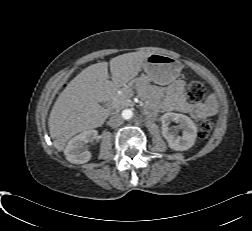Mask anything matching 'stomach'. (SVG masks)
Returning a JSON list of instances; mask_svg holds the SVG:
<instances>
[{
	"mask_svg": "<svg viewBox=\"0 0 252 231\" xmlns=\"http://www.w3.org/2000/svg\"><path fill=\"white\" fill-rule=\"evenodd\" d=\"M144 71L146 76L138 80V89L149 81L159 85H168L169 88H172L179 69L171 57L162 54H151L146 59Z\"/></svg>",
	"mask_w": 252,
	"mask_h": 231,
	"instance_id": "0dacf381",
	"label": "stomach"
}]
</instances>
